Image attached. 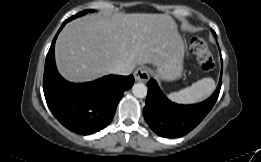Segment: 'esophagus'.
I'll use <instances>...</instances> for the list:
<instances>
[{
  "instance_id": "esophagus-1",
  "label": "esophagus",
  "mask_w": 261,
  "mask_h": 162,
  "mask_svg": "<svg viewBox=\"0 0 261 162\" xmlns=\"http://www.w3.org/2000/svg\"><path fill=\"white\" fill-rule=\"evenodd\" d=\"M134 78L136 81L146 82L150 78L149 70L145 67L137 68L134 72Z\"/></svg>"
}]
</instances>
